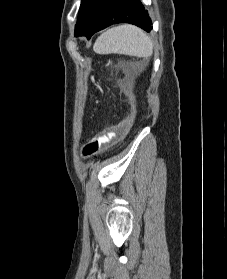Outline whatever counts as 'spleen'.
I'll use <instances>...</instances> for the list:
<instances>
[{"label": "spleen", "instance_id": "obj_1", "mask_svg": "<svg viewBox=\"0 0 227 279\" xmlns=\"http://www.w3.org/2000/svg\"><path fill=\"white\" fill-rule=\"evenodd\" d=\"M93 50L98 54H125L149 57L153 53L150 37L133 25H120L104 32L96 40Z\"/></svg>", "mask_w": 227, "mask_h": 279}]
</instances>
